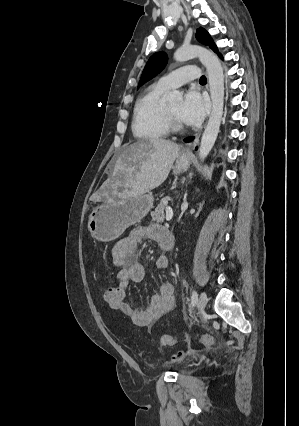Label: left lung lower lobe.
<instances>
[{"mask_svg": "<svg viewBox=\"0 0 299 426\" xmlns=\"http://www.w3.org/2000/svg\"><path fill=\"white\" fill-rule=\"evenodd\" d=\"M219 56L221 57V55L219 54ZM193 139V137H188V138H186L184 141L185 142H189V141H191Z\"/></svg>", "mask_w": 299, "mask_h": 426, "instance_id": "0a47b994", "label": "left lung lower lobe"}]
</instances>
